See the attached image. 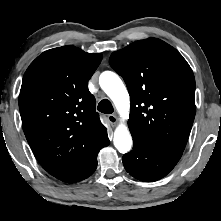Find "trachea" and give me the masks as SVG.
I'll return each instance as SVG.
<instances>
[{
    "label": "trachea",
    "instance_id": "obj_1",
    "mask_svg": "<svg viewBox=\"0 0 221 221\" xmlns=\"http://www.w3.org/2000/svg\"><path fill=\"white\" fill-rule=\"evenodd\" d=\"M98 110L104 114L113 113L114 109L111 102L108 99H103L98 104Z\"/></svg>",
    "mask_w": 221,
    "mask_h": 221
}]
</instances>
